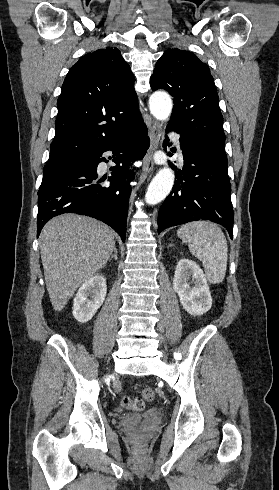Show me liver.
Returning a JSON list of instances; mask_svg holds the SVG:
<instances>
[{
	"mask_svg": "<svg viewBox=\"0 0 279 490\" xmlns=\"http://www.w3.org/2000/svg\"><path fill=\"white\" fill-rule=\"evenodd\" d=\"M115 232L87 216L62 214L44 226L39 248L45 284L55 312L77 288L105 268L115 248Z\"/></svg>",
	"mask_w": 279,
	"mask_h": 490,
	"instance_id": "obj_1",
	"label": "liver"
}]
</instances>
